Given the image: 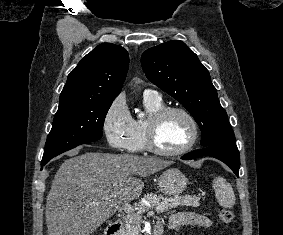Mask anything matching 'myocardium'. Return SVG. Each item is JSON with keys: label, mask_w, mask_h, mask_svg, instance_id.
<instances>
[{"label": "myocardium", "mask_w": 283, "mask_h": 235, "mask_svg": "<svg viewBox=\"0 0 283 235\" xmlns=\"http://www.w3.org/2000/svg\"><path fill=\"white\" fill-rule=\"evenodd\" d=\"M170 113H180L182 114L189 122L191 126V135L188 140V142L182 146L181 148L177 150H172V151H166L160 149L156 142H155V133L157 130V127L159 123ZM199 138V125L195 117L192 115L190 111L183 107L179 106H168V107H163L154 114H152L145 126V148L149 152L158 155V156H163V157H176L183 155L190 151L195 144L197 143Z\"/></svg>", "instance_id": "f54148a6"}]
</instances>
